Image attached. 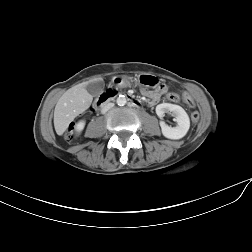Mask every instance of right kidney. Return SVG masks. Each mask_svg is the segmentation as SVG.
Instances as JSON below:
<instances>
[{
  "instance_id": "obj_1",
  "label": "right kidney",
  "mask_w": 252,
  "mask_h": 252,
  "mask_svg": "<svg viewBox=\"0 0 252 252\" xmlns=\"http://www.w3.org/2000/svg\"><path fill=\"white\" fill-rule=\"evenodd\" d=\"M84 126H85V121L84 120H80L76 124V127H75L76 134L79 135L81 133V131L84 129Z\"/></svg>"
}]
</instances>
